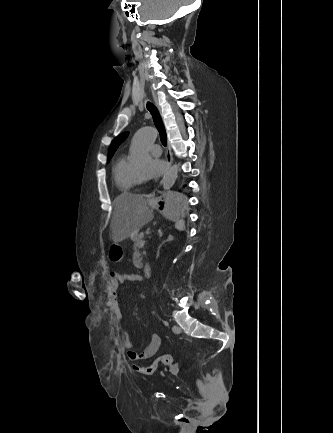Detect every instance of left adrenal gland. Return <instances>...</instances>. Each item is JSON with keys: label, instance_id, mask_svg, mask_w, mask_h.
I'll return each instance as SVG.
<instances>
[{"label": "left adrenal gland", "instance_id": "a2214340", "mask_svg": "<svg viewBox=\"0 0 333 433\" xmlns=\"http://www.w3.org/2000/svg\"><path fill=\"white\" fill-rule=\"evenodd\" d=\"M172 240H173V236L169 234L168 238L158 246V251L160 250L163 244H165L166 242H170Z\"/></svg>", "mask_w": 333, "mask_h": 433}]
</instances>
